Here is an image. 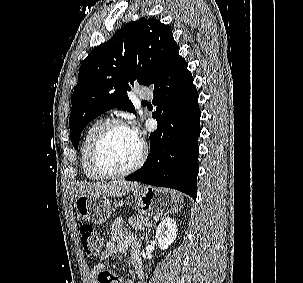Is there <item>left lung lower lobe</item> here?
<instances>
[{
	"label": "left lung lower lobe",
	"instance_id": "obj_1",
	"mask_svg": "<svg viewBox=\"0 0 303 283\" xmlns=\"http://www.w3.org/2000/svg\"><path fill=\"white\" fill-rule=\"evenodd\" d=\"M187 66L178 56L154 84L158 127L150 135L146 162L126 180L177 189L196 199L201 112Z\"/></svg>",
	"mask_w": 303,
	"mask_h": 283
}]
</instances>
